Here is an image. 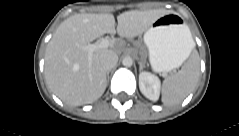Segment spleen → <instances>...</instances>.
Instances as JSON below:
<instances>
[{
    "label": "spleen",
    "mask_w": 239,
    "mask_h": 136,
    "mask_svg": "<svg viewBox=\"0 0 239 136\" xmlns=\"http://www.w3.org/2000/svg\"><path fill=\"white\" fill-rule=\"evenodd\" d=\"M189 42L193 48L195 43L190 32ZM199 74L200 63L195 53L178 73L164 79L162 85V102L165 105H176L181 103L196 87L199 80Z\"/></svg>",
    "instance_id": "spleen-1"
}]
</instances>
